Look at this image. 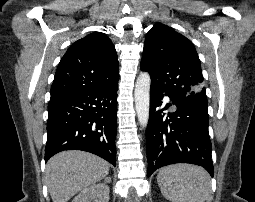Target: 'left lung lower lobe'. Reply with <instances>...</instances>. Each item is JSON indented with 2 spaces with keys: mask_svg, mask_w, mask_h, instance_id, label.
<instances>
[{
  "mask_svg": "<svg viewBox=\"0 0 255 202\" xmlns=\"http://www.w3.org/2000/svg\"><path fill=\"white\" fill-rule=\"evenodd\" d=\"M167 95V94H165ZM176 106L173 113H162L163 92L150 89V114L146 132V149L150 176L156 169L175 163H191L214 174L211 141L208 133V106L169 96Z\"/></svg>",
  "mask_w": 255,
  "mask_h": 202,
  "instance_id": "left-lung-lower-lobe-1",
  "label": "left lung lower lobe"
}]
</instances>
